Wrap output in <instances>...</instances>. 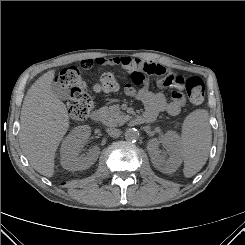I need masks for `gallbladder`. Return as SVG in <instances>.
Segmentation results:
<instances>
[{"label": "gallbladder", "mask_w": 245, "mask_h": 245, "mask_svg": "<svg viewBox=\"0 0 245 245\" xmlns=\"http://www.w3.org/2000/svg\"><path fill=\"white\" fill-rule=\"evenodd\" d=\"M51 88L52 92L62 100H66L70 97V90L67 87L61 86L59 83H53Z\"/></svg>", "instance_id": "1"}]
</instances>
